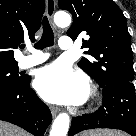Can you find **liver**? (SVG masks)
Instances as JSON below:
<instances>
[{
  "mask_svg": "<svg viewBox=\"0 0 136 136\" xmlns=\"http://www.w3.org/2000/svg\"><path fill=\"white\" fill-rule=\"evenodd\" d=\"M0 136H29L19 127L0 121Z\"/></svg>",
  "mask_w": 136,
  "mask_h": 136,
  "instance_id": "liver-1",
  "label": "liver"
}]
</instances>
